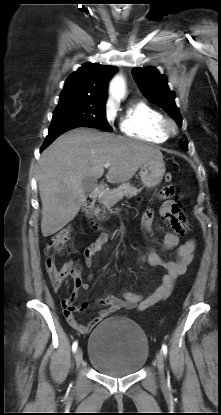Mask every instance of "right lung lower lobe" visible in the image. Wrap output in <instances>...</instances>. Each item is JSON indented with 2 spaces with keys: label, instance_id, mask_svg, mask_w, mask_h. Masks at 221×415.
<instances>
[{
  "label": "right lung lower lobe",
  "instance_id": "right-lung-lower-lobe-1",
  "mask_svg": "<svg viewBox=\"0 0 221 415\" xmlns=\"http://www.w3.org/2000/svg\"><path fill=\"white\" fill-rule=\"evenodd\" d=\"M71 129L59 130V131H49L48 136L46 137L43 146L41 147V151L44 150L48 145H50L59 135L62 133L69 131Z\"/></svg>",
  "mask_w": 221,
  "mask_h": 415
}]
</instances>
